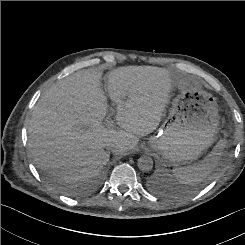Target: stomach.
Segmentation results:
<instances>
[{"instance_id": "obj_1", "label": "stomach", "mask_w": 245, "mask_h": 245, "mask_svg": "<svg viewBox=\"0 0 245 245\" xmlns=\"http://www.w3.org/2000/svg\"><path fill=\"white\" fill-rule=\"evenodd\" d=\"M175 86L179 94L150 147L172 163L187 164L198 159L217 139L219 109L216 97L195 79L180 78Z\"/></svg>"}]
</instances>
